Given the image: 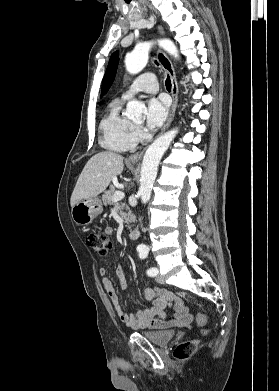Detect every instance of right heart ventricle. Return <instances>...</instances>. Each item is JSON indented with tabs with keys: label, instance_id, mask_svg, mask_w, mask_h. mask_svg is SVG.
I'll list each match as a JSON object with an SVG mask.
<instances>
[{
	"label": "right heart ventricle",
	"instance_id": "e07e8e85",
	"mask_svg": "<svg viewBox=\"0 0 279 391\" xmlns=\"http://www.w3.org/2000/svg\"><path fill=\"white\" fill-rule=\"evenodd\" d=\"M122 102V99L112 100L100 122L102 147L116 152L129 151L137 142L133 124L121 112Z\"/></svg>",
	"mask_w": 279,
	"mask_h": 391
}]
</instances>
